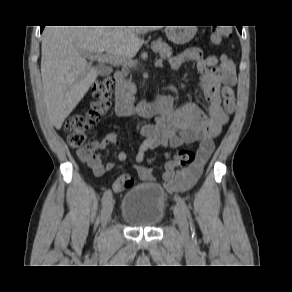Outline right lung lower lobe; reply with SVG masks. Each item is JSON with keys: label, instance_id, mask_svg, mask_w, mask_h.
Wrapping results in <instances>:
<instances>
[{"label": "right lung lower lobe", "instance_id": "right-lung-lower-lobe-1", "mask_svg": "<svg viewBox=\"0 0 292 292\" xmlns=\"http://www.w3.org/2000/svg\"><path fill=\"white\" fill-rule=\"evenodd\" d=\"M40 27H41V32H42L45 26H40Z\"/></svg>", "mask_w": 292, "mask_h": 292}]
</instances>
